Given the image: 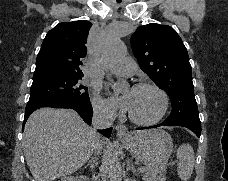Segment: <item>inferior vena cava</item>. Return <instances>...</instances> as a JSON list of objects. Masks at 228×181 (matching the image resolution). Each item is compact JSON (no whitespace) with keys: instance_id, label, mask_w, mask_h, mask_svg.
<instances>
[{"instance_id":"1","label":"inferior vena cava","mask_w":228,"mask_h":181,"mask_svg":"<svg viewBox=\"0 0 228 181\" xmlns=\"http://www.w3.org/2000/svg\"><path fill=\"white\" fill-rule=\"evenodd\" d=\"M114 117V113L107 111L104 105H93L92 125L94 127V133L99 135V133H97V129H109V127H112L113 121H115ZM101 151V145H97V147H94L93 153L100 155Z\"/></svg>"}]
</instances>
